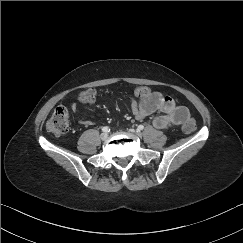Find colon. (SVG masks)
Listing matches in <instances>:
<instances>
[{
	"label": "colon",
	"instance_id": "1",
	"mask_svg": "<svg viewBox=\"0 0 243 243\" xmlns=\"http://www.w3.org/2000/svg\"><path fill=\"white\" fill-rule=\"evenodd\" d=\"M144 89L138 88L136 93L142 95ZM79 100L82 103L89 104L95 100V92L92 88L83 90L79 95ZM69 127L68 111L65 107L59 106L54 109L50 118L47 120L46 129L56 136H63L67 133ZM196 123L193 119H188L183 125L185 133H191L195 130Z\"/></svg>",
	"mask_w": 243,
	"mask_h": 243
}]
</instances>
